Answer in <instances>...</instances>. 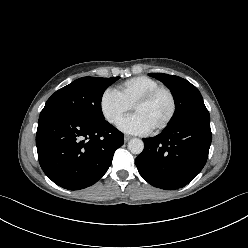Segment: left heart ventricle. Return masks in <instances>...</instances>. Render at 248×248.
<instances>
[{
	"label": "left heart ventricle",
	"instance_id": "left-heart-ventricle-1",
	"mask_svg": "<svg viewBox=\"0 0 248 248\" xmlns=\"http://www.w3.org/2000/svg\"><path fill=\"white\" fill-rule=\"evenodd\" d=\"M171 103L166 93L156 96L151 102L136 107L134 114L139 115L151 130L159 126L168 116Z\"/></svg>",
	"mask_w": 248,
	"mask_h": 248
}]
</instances>
